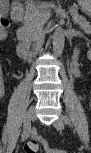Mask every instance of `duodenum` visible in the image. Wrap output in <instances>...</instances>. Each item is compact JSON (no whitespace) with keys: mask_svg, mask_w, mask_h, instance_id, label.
Here are the masks:
<instances>
[{"mask_svg":"<svg viewBox=\"0 0 91 153\" xmlns=\"http://www.w3.org/2000/svg\"><path fill=\"white\" fill-rule=\"evenodd\" d=\"M15 20L19 23H22L24 21V12L22 8H19L14 11ZM17 54L19 57L23 59H28L33 55V51L30 49L29 45L20 39L17 43Z\"/></svg>","mask_w":91,"mask_h":153,"instance_id":"obj_1","label":"duodenum"}]
</instances>
